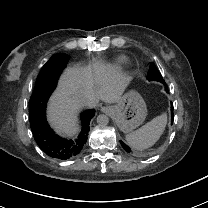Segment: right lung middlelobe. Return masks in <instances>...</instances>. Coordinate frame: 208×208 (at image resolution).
Wrapping results in <instances>:
<instances>
[{"label":"right lung middle lobe","mask_w":208,"mask_h":208,"mask_svg":"<svg viewBox=\"0 0 208 208\" xmlns=\"http://www.w3.org/2000/svg\"><path fill=\"white\" fill-rule=\"evenodd\" d=\"M52 57H54V58H65L66 60H68V58H69L68 55H66L64 53H58V54L53 55Z\"/></svg>","instance_id":"obj_1"}]
</instances>
